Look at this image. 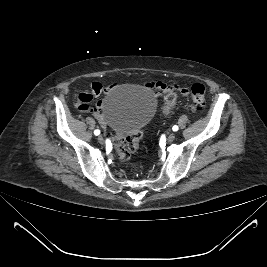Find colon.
I'll return each instance as SVG.
<instances>
[{"instance_id":"5ec220e1","label":"colon","mask_w":267,"mask_h":267,"mask_svg":"<svg viewBox=\"0 0 267 267\" xmlns=\"http://www.w3.org/2000/svg\"><path fill=\"white\" fill-rule=\"evenodd\" d=\"M205 87L203 84L195 83L191 87V109L193 111H200L205 105ZM177 102V95L175 92H169L164 99V112L170 113ZM142 129L137 130L127 136L115 135L112 137V142L120 161L127 162L132 153H135L140 146L142 138Z\"/></svg>"}]
</instances>
